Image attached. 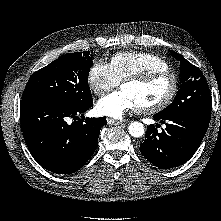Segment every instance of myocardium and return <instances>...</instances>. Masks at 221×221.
<instances>
[{
  "mask_svg": "<svg viewBox=\"0 0 221 221\" xmlns=\"http://www.w3.org/2000/svg\"><path fill=\"white\" fill-rule=\"evenodd\" d=\"M160 78H168L171 81V88L167 96L160 101L159 103L151 106H142L139 107V110L143 113L147 114H154L158 113L165 108H167L175 99L178 90H179V78L178 76L168 70H155V71H148L139 75L130 76L122 81V86L127 83H136L140 85L149 84L157 79Z\"/></svg>",
  "mask_w": 221,
  "mask_h": 221,
  "instance_id": "1",
  "label": "myocardium"
}]
</instances>
